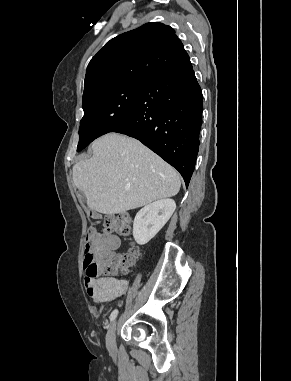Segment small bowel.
Listing matches in <instances>:
<instances>
[{
  "instance_id": "1",
  "label": "small bowel",
  "mask_w": 291,
  "mask_h": 381,
  "mask_svg": "<svg viewBox=\"0 0 291 381\" xmlns=\"http://www.w3.org/2000/svg\"><path fill=\"white\" fill-rule=\"evenodd\" d=\"M92 238L100 251H114L120 246V238L112 234H103L95 230ZM84 285L87 294L94 302L103 303L115 300L126 293L128 282L113 276L85 277Z\"/></svg>"
}]
</instances>
